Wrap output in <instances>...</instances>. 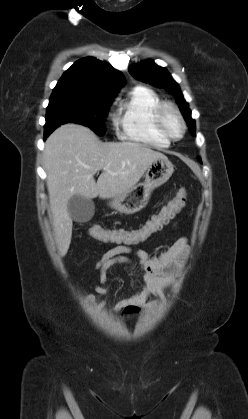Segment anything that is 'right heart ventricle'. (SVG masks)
I'll use <instances>...</instances> for the list:
<instances>
[{
  "mask_svg": "<svg viewBox=\"0 0 248 419\" xmlns=\"http://www.w3.org/2000/svg\"><path fill=\"white\" fill-rule=\"evenodd\" d=\"M162 103L158 94L143 86L131 89L119 100L114 121L120 137L153 147H165L169 141L154 124V112Z\"/></svg>",
  "mask_w": 248,
  "mask_h": 419,
  "instance_id": "e07e8e85",
  "label": "right heart ventricle"
}]
</instances>
